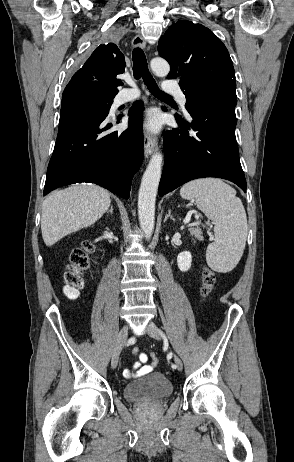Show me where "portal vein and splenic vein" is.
<instances>
[{"label":"portal vein and splenic vein","instance_id":"1","mask_svg":"<svg viewBox=\"0 0 294 462\" xmlns=\"http://www.w3.org/2000/svg\"><path fill=\"white\" fill-rule=\"evenodd\" d=\"M189 222H190V219H189V218H185V219L183 220V223H184V224H189Z\"/></svg>","mask_w":294,"mask_h":462}]
</instances>
